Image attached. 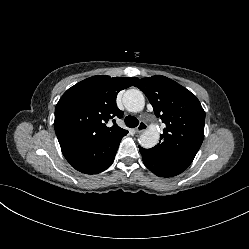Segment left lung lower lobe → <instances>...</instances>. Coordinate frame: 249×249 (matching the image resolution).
<instances>
[{
	"instance_id": "0a47b994",
	"label": "left lung lower lobe",
	"mask_w": 249,
	"mask_h": 249,
	"mask_svg": "<svg viewBox=\"0 0 249 249\" xmlns=\"http://www.w3.org/2000/svg\"><path fill=\"white\" fill-rule=\"evenodd\" d=\"M145 166L160 177H172L183 172L191 161L161 156L139 146Z\"/></svg>"
}]
</instances>
